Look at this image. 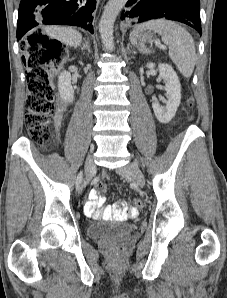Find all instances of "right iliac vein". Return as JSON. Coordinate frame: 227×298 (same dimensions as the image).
<instances>
[{
    "instance_id": "63e3f726",
    "label": "right iliac vein",
    "mask_w": 227,
    "mask_h": 298,
    "mask_svg": "<svg viewBox=\"0 0 227 298\" xmlns=\"http://www.w3.org/2000/svg\"><path fill=\"white\" fill-rule=\"evenodd\" d=\"M95 170V165L91 156H88L85 162V171L87 178L90 179Z\"/></svg>"
}]
</instances>
